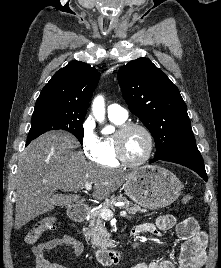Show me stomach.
<instances>
[{"label":"stomach","instance_id":"0dacf381","mask_svg":"<svg viewBox=\"0 0 221 268\" xmlns=\"http://www.w3.org/2000/svg\"><path fill=\"white\" fill-rule=\"evenodd\" d=\"M181 190L182 184L176 175L157 165L136 169L124 183L125 194L148 209L167 207L179 197Z\"/></svg>","mask_w":221,"mask_h":268}]
</instances>
